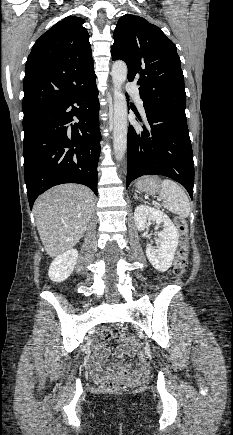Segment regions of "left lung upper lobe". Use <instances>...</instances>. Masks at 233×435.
I'll list each match as a JSON object with an SVG mask.
<instances>
[{
    "label": "left lung upper lobe",
    "instance_id": "5c2ea615",
    "mask_svg": "<svg viewBox=\"0 0 233 435\" xmlns=\"http://www.w3.org/2000/svg\"><path fill=\"white\" fill-rule=\"evenodd\" d=\"M112 60L128 66L127 78L137 80L144 106L185 113L186 93L175 44L144 18L126 14L113 33Z\"/></svg>",
    "mask_w": 233,
    "mask_h": 435
}]
</instances>
